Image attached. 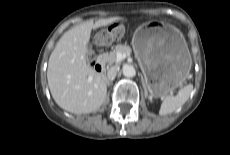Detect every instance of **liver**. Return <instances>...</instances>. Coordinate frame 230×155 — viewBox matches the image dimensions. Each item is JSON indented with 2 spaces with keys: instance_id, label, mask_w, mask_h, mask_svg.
Masks as SVG:
<instances>
[{
  "instance_id": "1",
  "label": "liver",
  "mask_w": 230,
  "mask_h": 155,
  "mask_svg": "<svg viewBox=\"0 0 230 155\" xmlns=\"http://www.w3.org/2000/svg\"><path fill=\"white\" fill-rule=\"evenodd\" d=\"M121 17L87 20L74 26L57 42L47 69L48 86L57 105L75 113H91L103 104L106 93L104 75L94 73L86 60L92 29L107 26Z\"/></svg>"
}]
</instances>
